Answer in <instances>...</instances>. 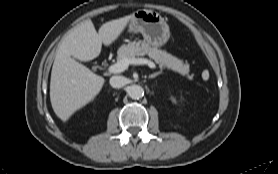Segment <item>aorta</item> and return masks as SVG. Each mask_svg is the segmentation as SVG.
Here are the masks:
<instances>
[{
  "instance_id": "1",
  "label": "aorta",
  "mask_w": 278,
  "mask_h": 174,
  "mask_svg": "<svg viewBox=\"0 0 278 174\" xmlns=\"http://www.w3.org/2000/svg\"><path fill=\"white\" fill-rule=\"evenodd\" d=\"M127 93L132 99L138 100L143 97L144 90L141 86L134 84L128 87Z\"/></svg>"
}]
</instances>
